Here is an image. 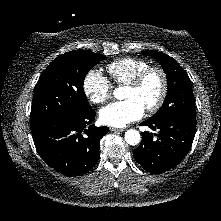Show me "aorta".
<instances>
[{"label":"aorta","mask_w":221,"mask_h":221,"mask_svg":"<svg viewBox=\"0 0 221 221\" xmlns=\"http://www.w3.org/2000/svg\"><path fill=\"white\" fill-rule=\"evenodd\" d=\"M113 94L117 99H119V100L123 99V97H124L123 87L116 88L114 90ZM124 138H125L126 143H128L129 145H132V146L137 145L141 140V136H140L139 132L134 129H130V130L126 131Z\"/></svg>","instance_id":"aorta-1"}]
</instances>
